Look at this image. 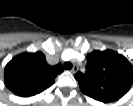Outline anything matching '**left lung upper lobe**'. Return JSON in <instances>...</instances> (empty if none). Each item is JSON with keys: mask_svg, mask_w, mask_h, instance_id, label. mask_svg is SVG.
<instances>
[{"mask_svg": "<svg viewBox=\"0 0 133 106\" xmlns=\"http://www.w3.org/2000/svg\"><path fill=\"white\" fill-rule=\"evenodd\" d=\"M74 77L84 94L106 103L120 99L129 91L133 66L117 52L95 50L87 55L86 72H77Z\"/></svg>", "mask_w": 133, "mask_h": 106, "instance_id": "left-lung-upper-lobe-1", "label": "left lung upper lobe"}]
</instances>
